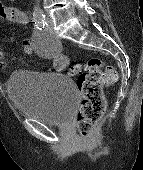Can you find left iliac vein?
Segmentation results:
<instances>
[{"label": "left iliac vein", "instance_id": "left-iliac-vein-1", "mask_svg": "<svg viewBox=\"0 0 143 170\" xmlns=\"http://www.w3.org/2000/svg\"><path fill=\"white\" fill-rule=\"evenodd\" d=\"M46 20H47L48 24L51 25L52 22H51V18L49 16H47Z\"/></svg>", "mask_w": 143, "mask_h": 170}]
</instances>
